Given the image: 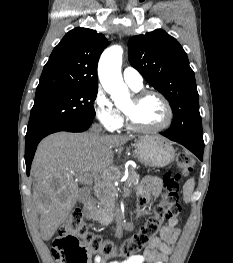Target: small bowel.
<instances>
[{"mask_svg": "<svg viewBox=\"0 0 233 263\" xmlns=\"http://www.w3.org/2000/svg\"><path fill=\"white\" fill-rule=\"evenodd\" d=\"M161 189L160 178L153 175L147 176L137 189L140 205L146 207L151 197H159ZM178 225V219H168L166 225L161 228L159 236L153 238L141 254L123 260H106L102 256H95L92 263H167L172 252V245L180 234Z\"/></svg>", "mask_w": 233, "mask_h": 263, "instance_id": "obj_1", "label": "small bowel"}]
</instances>
